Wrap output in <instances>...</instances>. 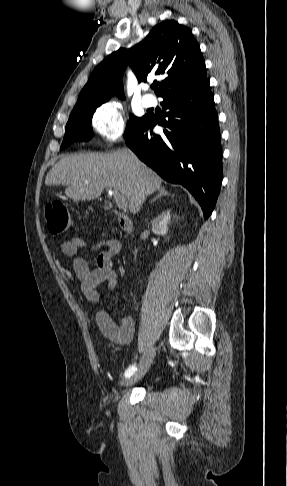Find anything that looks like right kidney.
I'll use <instances>...</instances> for the list:
<instances>
[{
  "instance_id": "obj_1",
  "label": "right kidney",
  "mask_w": 287,
  "mask_h": 486,
  "mask_svg": "<svg viewBox=\"0 0 287 486\" xmlns=\"http://www.w3.org/2000/svg\"><path fill=\"white\" fill-rule=\"evenodd\" d=\"M170 210L163 211L152 221V231L157 235L165 236L168 232V224L171 221Z\"/></svg>"
}]
</instances>
